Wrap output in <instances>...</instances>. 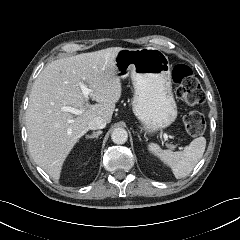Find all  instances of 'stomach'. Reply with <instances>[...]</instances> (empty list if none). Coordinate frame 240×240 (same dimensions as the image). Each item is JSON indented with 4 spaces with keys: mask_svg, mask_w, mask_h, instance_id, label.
I'll return each mask as SVG.
<instances>
[{
    "mask_svg": "<svg viewBox=\"0 0 240 240\" xmlns=\"http://www.w3.org/2000/svg\"><path fill=\"white\" fill-rule=\"evenodd\" d=\"M120 78L131 76L134 97L132 110L143 129L154 133L169 126L177 117L172 93L168 57L153 47L121 49L115 57Z\"/></svg>",
    "mask_w": 240,
    "mask_h": 240,
    "instance_id": "1",
    "label": "stomach"
}]
</instances>
